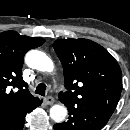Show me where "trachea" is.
I'll return each mask as SVG.
<instances>
[{"label":"trachea","mask_w":130,"mask_h":130,"mask_svg":"<svg viewBox=\"0 0 130 130\" xmlns=\"http://www.w3.org/2000/svg\"><path fill=\"white\" fill-rule=\"evenodd\" d=\"M35 93L44 96L46 93V85L44 83L38 84Z\"/></svg>","instance_id":"3493384b"}]
</instances>
